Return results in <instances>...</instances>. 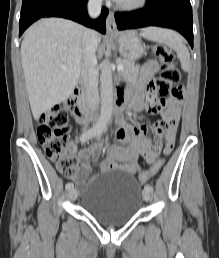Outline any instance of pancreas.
<instances>
[{"label": "pancreas", "instance_id": "obj_1", "mask_svg": "<svg viewBox=\"0 0 219 258\" xmlns=\"http://www.w3.org/2000/svg\"><path fill=\"white\" fill-rule=\"evenodd\" d=\"M119 64L123 65V70L121 71V75L127 79H135L138 76L139 66L135 64L134 61L129 59H123L119 61Z\"/></svg>", "mask_w": 219, "mask_h": 258}]
</instances>
